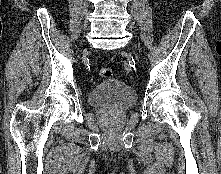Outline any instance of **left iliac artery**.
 Masks as SVG:
<instances>
[{
	"instance_id": "left-iliac-artery-1",
	"label": "left iliac artery",
	"mask_w": 221,
	"mask_h": 174,
	"mask_svg": "<svg viewBox=\"0 0 221 174\" xmlns=\"http://www.w3.org/2000/svg\"><path fill=\"white\" fill-rule=\"evenodd\" d=\"M124 69H125L127 72H130V71H131V64H130V62H127V61L124 62Z\"/></svg>"
}]
</instances>
